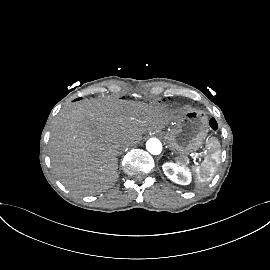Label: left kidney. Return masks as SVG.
I'll return each instance as SVG.
<instances>
[{
	"mask_svg": "<svg viewBox=\"0 0 270 270\" xmlns=\"http://www.w3.org/2000/svg\"><path fill=\"white\" fill-rule=\"evenodd\" d=\"M164 174L173 182L180 185H188L191 182V173L177 164L167 162L163 164Z\"/></svg>",
	"mask_w": 270,
	"mask_h": 270,
	"instance_id": "left-kidney-1",
	"label": "left kidney"
}]
</instances>
